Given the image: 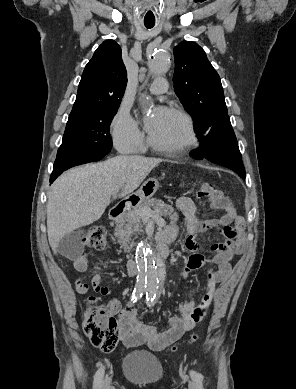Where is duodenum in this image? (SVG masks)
Masks as SVG:
<instances>
[{
	"mask_svg": "<svg viewBox=\"0 0 296 389\" xmlns=\"http://www.w3.org/2000/svg\"><path fill=\"white\" fill-rule=\"evenodd\" d=\"M135 199H130L129 201L120 203L119 205L115 206L111 209L109 218L113 224H116L123 216L125 211L129 209L132 205L136 204ZM171 242L170 239L160 237L158 238V249H157V257L159 259H164L169 254V246L168 244ZM127 272L129 276H135L138 272L137 270V264L135 261H130L127 263Z\"/></svg>",
	"mask_w": 296,
	"mask_h": 389,
	"instance_id": "obj_1",
	"label": "duodenum"
}]
</instances>
